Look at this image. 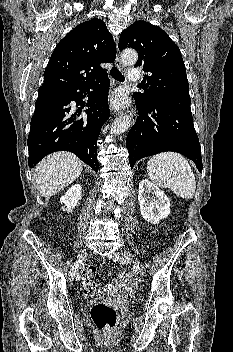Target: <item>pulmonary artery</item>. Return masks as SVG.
Returning <instances> with one entry per match:
<instances>
[{
    "label": "pulmonary artery",
    "instance_id": "1",
    "mask_svg": "<svg viewBox=\"0 0 233 352\" xmlns=\"http://www.w3.org/2000/svg\"><path fill=\"white\" fill-rule=\"evenodd\" d=\"M127 78L131 82H137L141 79V73L137 68H131L127 73Z\"/></svg>",
    "mask_w": 233,
    "mask_h": 352
}]
</instances>
